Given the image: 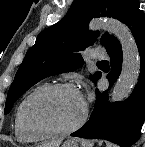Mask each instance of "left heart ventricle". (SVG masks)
<instances>
[{
  "mask_svg": "<svg viewBox=\"0 0 145 147\" xmlns=\"http://www.w3.org/2000/svg\"><path fill=\"white\" fill-rule=\"evenodd\" d=\"M84 101L75 90H61L36 99L31 108L35 117L57 128H67L81 117Z\"/></svg>",
  "mask_w": 145,
  "mask_h": 147,
  "instance_id": "left-heart-ventricle-1",
  "label": "left heart ventricle"
}]
</instances>
